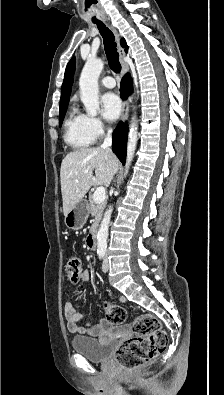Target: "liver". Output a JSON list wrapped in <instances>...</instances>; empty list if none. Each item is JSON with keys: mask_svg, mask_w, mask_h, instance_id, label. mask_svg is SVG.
I'll return each mask as SVG.
<instances>
[{"mask_svg": "<svg viewBox=\"0 0 224 395\" xmlns=\"http://www.w3.org/2000/svg\"><path fill=\"white\" fill-rule=\"evenodd\" d=\"M118 165L113 152L101 147L81 148L68 153L60 169L64 215L83 199L91 186H109Z\"/></svg>", "mask_w": 224, "mask_h": 395, "instance_id": "1", "label": "liver"}]
</instances>
